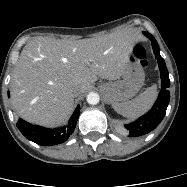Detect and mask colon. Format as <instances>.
Wrapping results in <instances>:
<instances>
[{
	"label": "colon",
	"instance_id": "obj_1",
	"mask_svg": "<svg viewBox=\"0 0 187 187\" xmlns=\"http://www.w3.org/2000/svg\"><path fill=\"white\" fill-rule=\"evenodd\" d=\"M133 60L139 62L142 66H147L146 49L143 45H136L132 52Z\"/></svg>",
	"mask_w": 187,
	"mask_h": 187
}]
</instances>
